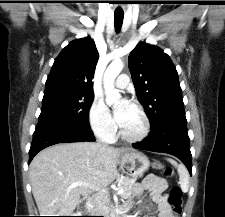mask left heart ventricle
I'll list each match as a JSON object with an SVG mask.
<instances>
[{
	"label": "left heart ventricle",
	"mask_w": 225,
	"mask_h": 217,
	"mask_svg": "<svg viewBox=\"0 0 225 217\" xmlns=\"http://www.w3.org/2000/svg\"><path fill=\"white\" fill-rule=\"evenodd\" d=\"M141 127H142L141 116L138 113V111L130 105L127 111L125 122L123 123L121 128L125 133L134 135L140 131Z\"/></svg>",
	"instance_id": "left-heart-ventricle-1"
}]
</instances>
